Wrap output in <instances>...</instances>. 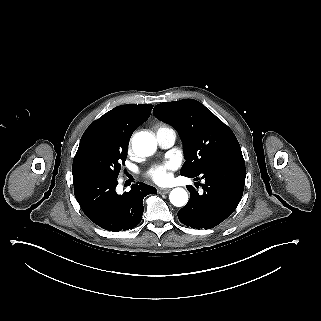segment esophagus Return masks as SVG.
Wrapping results in <instances>:
<instances>
[{"label":"esophagus","mask_w":321,"mask_h":321,"mask_svg":"<svg viewBox=\"0 0 321 321\" xmlns=\"http://www.w3.org/2000/svg\"><path fill=\"white\" fill-rule=\"evenodd\" d=\"M170 190H171V188H159L158 193L159 194H167V193H169Z\"/></svg>","instance_id":"esophagus-1"}]
</instances>
